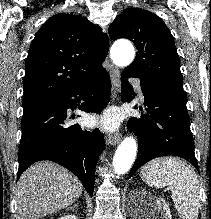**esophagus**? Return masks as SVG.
<instances>
[{"label":"esophagus","mask_w":211,"mask_h":219,"mask_svg":"<svg viewBox=\"0 0 211 219\" xmlns=\"http://www.w3.org/2000/svg\"><path fill=\"white\" fill-rule=\"evenodd\" d=\"M110 78L112 83L113 100H115L119 89V82H120V73L116 67H111ZM120 139H121V134L117 133L114 135H109L106 142L108 145L113 146L118 144Z\"/></svg>","instance_id":"obj_1"}]
</instances>
